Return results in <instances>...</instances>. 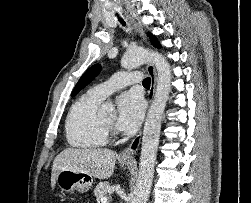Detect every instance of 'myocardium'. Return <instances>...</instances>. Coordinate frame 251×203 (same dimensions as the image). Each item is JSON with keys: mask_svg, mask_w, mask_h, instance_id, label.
Segmentation results:
<instances>
[{"mask_svg": "<svg viewBox=\"0 0 251 203\" xmlns=\"http://www.w3.org/2000/svg\"><path fill=\"white\" fill-rule=\"evenodd\" d=\"M101 123H102L103 127L105 128V130L107 131V133H111L113 135L116 134V131H115L113 124L107 123L103 119H101Z\"/></svg>", "mask_w": 251, "mask_h": 203, "instance_id": "1", "label": "myocardium"}]
</instances>
